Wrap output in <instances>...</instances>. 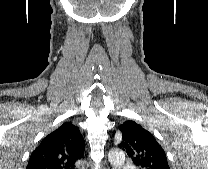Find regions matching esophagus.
<instances>
[{
    "label": "esophagus",
    "instance_id": "1",
    "mask_svg": "<svg viewBox=\"0 0 208 169\" xmlns=\"http://www.w3.org/2000/svg\"><path fill=\"white\" fill-rule=\"evenodd\" d=\"M102 169H109L108 167V163L106 161H104V163L101 165Z\"/></svg>",
    "mask_w": 208,
    "mask_h": 169
}]
</instances>
